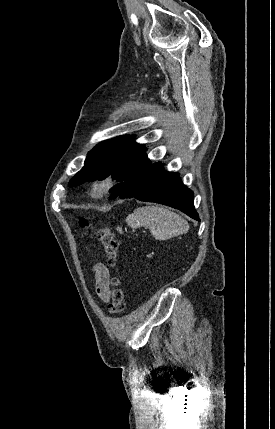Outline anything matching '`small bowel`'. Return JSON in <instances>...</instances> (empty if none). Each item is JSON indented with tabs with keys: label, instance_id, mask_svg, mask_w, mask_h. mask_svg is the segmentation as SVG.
Segmentation results:
<instances>
[{
	"label": "small bowel",
	"instance_id": "1",
	"mask_svg": "<svg viewBox=\"0 0 275 429\" xmlns=\"http://www.w3.org/2000/svg\"><path fill=\"white\" fill-rule=\"evenodd\" d=\"M96 293L101 300L108 302L111 296L110 272L103 263H96L93 267Z\"/></svg>",
	"mask_w": 275,
	"mask_h": 429
}]
</instances>
